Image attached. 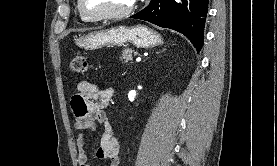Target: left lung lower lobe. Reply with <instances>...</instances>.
Masks as SVG:
<instances>
[{
  "mask_svg": "<svg viewBox=\"0 0 277 166\" xmlns=\"http://www.w3.org/2000/svg\"><path fill=\"white\" fill-rule=\"evenodd\" d=\"M209 0H151L131 18L145 20L184 34L200 51Z\"/></svg>",
  "mask_w": 277,
  "mask_h": 166,
  "instance_id": "0a47b994",
  "label": "left lung lower lobe"
}]
</instances>
